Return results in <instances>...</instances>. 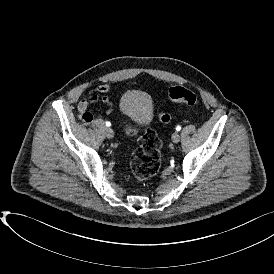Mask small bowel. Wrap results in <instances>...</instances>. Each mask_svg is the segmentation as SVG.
I'll use <instances>...</instances> for the list:
<instances>
[{
  "instance_id": "c3829d8e",
  "label": "small bowel",
  "mask_w": 274,
  "mask_h": 274,
  "mask_svg": "<svg viewBox=\"0 0 274 274\" xmlns=\"http://www.w3.org/2000/svg\"><path fill=\"white\" fill-rule=\"evenodd\" d=\"M114 89V86L110 83L100 84L94 89L91 90L89 97L87 99H83L77 104V117L78 119L85 125H89L93 121V114L89 111V106L92 103L101 101L104 103L108 112L112 110V103L109 98L105 96V94Z\"/></svg>"
}]
</instances>
